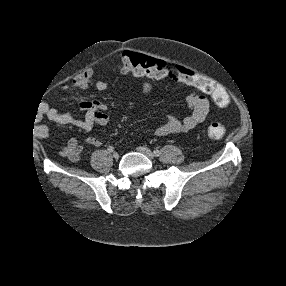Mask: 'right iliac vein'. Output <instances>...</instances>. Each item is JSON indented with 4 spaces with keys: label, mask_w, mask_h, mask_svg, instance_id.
Returning <instances> with one entry per match:
<instances>
[{
    "label": "right iliac vein",
    "mask_w": 286,
    "mask_h": 286,
    "mask_svg": "<svg viewBox=\"0 0 286 286\" xmlns=\"http://www.w3.org/2000/svg\"><path fill=\"white\" fill-rule=\"evenodd\" d=\"M113 157H114L115 159H118V158H119V154H118L117 152H114V153H113Z\"/></svg>",
    "instance_id": "obj_1"
}]
</instances>
